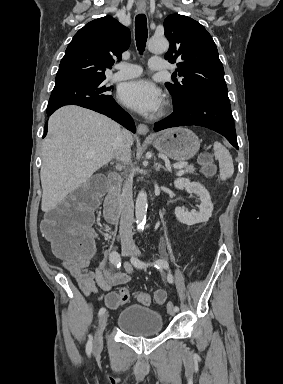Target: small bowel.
Returning a JSON list of instances; mask_svg holds the SVG:
<instances>
[{
    "instance_id": "1",
    "label": "small bowel",
    "mask_w": 283,
    "mask_h": 384,
    "mask_svg": "<svg viewBox=\"0 0 283 384\" xmlns=\"http://www.w3.org/2000/svg\"><path fill=\"white\" fill-rule=\"evenodd\" d=\"M62 266L76 279L85 295L110 291L114 286L129 282L133 273L130 263L124 264V271H115L106 261L101 262L94 270H90L89 259L63 260Z\"/></svg>"
}]
</instances>
